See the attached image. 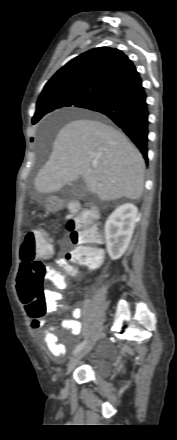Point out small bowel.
Returning a JSON list of instances; mask_svg holds the SVG:
<instances>
[{"mask_svg": "<svg viewBox=\"0 0 177 440\" xmlns=\"http://www.w3.org/2000/svg\"><path fill=\"white\" fill-rule=\"evenodd\" d=\"M61 264L65 262L61 261ZM66 285V281L62 286ZM48 298V311L54 312L59 310L61 305L62 297L59 293L50 291L47 293ZM82 316V309L76 307L72 309L71 317L65 318L61 322V326L69 331L72 335L78 336L82 332V324L79 319ZM32 328L39 330L43 341L45 342L47 348L54 356H63L66 352V347L59 342L57 335L54 333L56 327L43 328L45 324V319L42 317L32 318Z\"/></svg>", "mask_w": 177, "mask_h": 440, "instance_id": "obj_1", "label": "small bowel"}]
</instances>
